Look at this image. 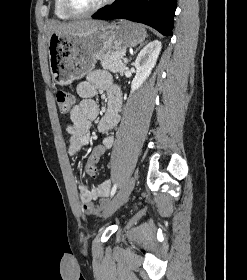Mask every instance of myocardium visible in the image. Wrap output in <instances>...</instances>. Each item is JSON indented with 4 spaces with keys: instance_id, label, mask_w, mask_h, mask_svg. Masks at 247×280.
Segmentation results:
<instances>
[{
    "instance_id": "obj_1",
    "label": "myocardium",
    "mask_w": 247,
    "mask_h": 280,
    "mask_svg": "<svg viewBox=\"0 0 247 280\" xmlns=\"http://www.w3.org/2000/svg\"><path fill=\"white\" fill-rule=\"evenodd\" d=\"M114 0H102L99 4H97L96 6L86 9V10H80L77 9L73 6L72 1L71 0H62L63 3V8L66 11V13H68L70 16L72 17H82V16H87V15H91L103 8H105L106 6H108L109 4H111Z\"/></svg>"
}]
</instances>
